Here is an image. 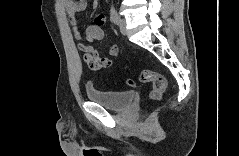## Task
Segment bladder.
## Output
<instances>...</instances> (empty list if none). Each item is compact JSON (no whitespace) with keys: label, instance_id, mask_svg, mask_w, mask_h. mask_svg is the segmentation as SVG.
Returning a JSON list of instances; mask_svg holds the SVG:
<instances>
[{"label":"bladder","instance_id":"31cf9c89","mask_svg":"<svg viewBox=\"0 0 239 156\" xmlns=\"http://www.w3.org/2000/svg\"><path fill=\"white\" fill-rule=\"evenodd\" d=\"M85 94L90 102L100 104L106 109L113 111L126 110L135 98V93L132 91L115 92L90 86L86 88Z\"/></svg>","mask_w":239,"mask_h":156}]
</instances>
